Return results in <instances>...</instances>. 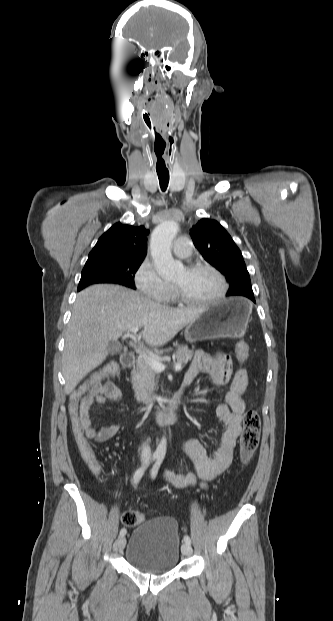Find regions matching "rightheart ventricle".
<instances>
[{"label":"right heart ventricle","mask_w":333,"mask_h":621,"mask_svg":"<svg viewBox=\"0 0 333 621\" xmlns=\"http://www.w3.org/2000/svg\"><path fill=\"white\" fill-rule=\"evenodd\" d=\"M173 300H175V296H174L173 291H171V293H170V295H169V297L167 298L166 301H173Z\"/></svg>","instance_id":"right-heart-ventricle-1"}]
</instances>
